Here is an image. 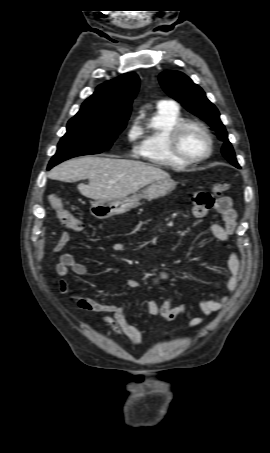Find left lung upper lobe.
I'll list each match as a JSON object with an SVG mask.
<instances>
[{
	"label": "left lung upper lobe",
	"mask_w": 270,
	"mask_h": 453,
	"mask_svg": "<svg viewBox=\"0 0 270 453\" xmlns=\"http://www.w3.org/2000/svg\"><path fill=\"white\" fill-rule=\"evenodd\" d=\"M159 81L170 97L181 102L189 112L206 121L216 131L218 138L224 141L222 154L232 165L240 168L225 127L220 120V114L217 108L207 99L204 91L193 83L188 76L178 71L162 72L159 75Z\"/></svg>",
	"instance_id": "1"
}]
</instances>
